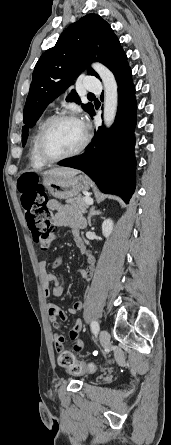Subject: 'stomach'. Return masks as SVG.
I'll return each mask as SVG.
<instances>
[{"label": "stomach", "mask_w": 171, "mask_h": 445, "mask_svg": "<svg viewBox=\"0 0 171 445\" xmlns=\"http://www.w3.org/2000/svg\"><path fill=\"white\" fill-rule=\"evenodd\" d=\"M43 186L56 199H71L83 191L89 190L86 177L43 175Z\"/></svg>", "instance_id": "1"}]
</instances>
